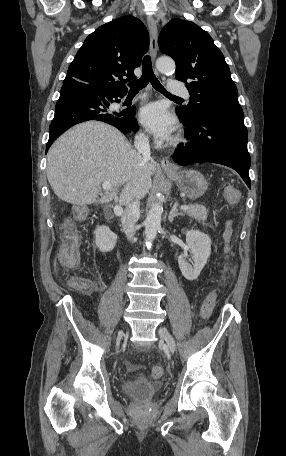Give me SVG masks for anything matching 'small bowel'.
Segmentation results:
<instances>
[{
    "instance_id": "small-bowel-1",
    "label": "small bowel",
    "mask_w": 286,
    "mask_h": 456,
    "mask_svg": "<svg viewBox=\"0 0 286 456\" xmlns=\"http://www.w3.org/2000/svg\"><path fill=\"white\" fill-rule=\"evenodd\" d=\"M231 220L230 219H227L225 221V231H224V239H225V242L227 243L228 239L230 238L231 236V233H232V228H231ZM225 251L227 252L228 251V248H227V244L225 245Z\"/></svg>"
}]
</instances>
